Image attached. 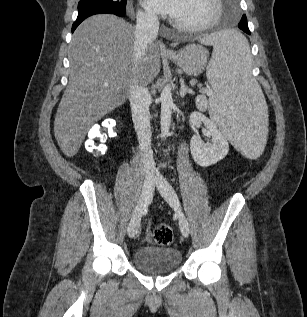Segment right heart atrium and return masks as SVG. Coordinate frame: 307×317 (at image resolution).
I'll return each mask as SVG.
<instances>
[{"mask_svg":"<svg viewBox=\"0 0 307 317\" xmlns=\"http://www.w3.org/2000/svg\"><path fill=\"white\" fill-rule=\"evenodd\" d=\"M137 19L144 26H153L157 21V17L154 14L146 11H139Z\"/></svg>","mask_w":307,"mask_h":317,"instance_id":"obj_1","label":"right heart atrium"}]
</instances>
